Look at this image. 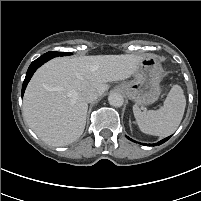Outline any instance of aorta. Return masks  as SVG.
<instances>
[{
    "mask_svg": "<svg viewBox=\"0 0 201 201\" xmlns=\"http://www.w3.org/2000/svg\"><path fill=\"white\" fill-rule=\"evenodd\" d=\"M109 104L113 107H121L124 103V98L117 92H112L108 96Z\"/></svg>",
    "mask_w": 201,
    "mask_h": 201,
    "instance_id": "762f6f07",
    "label": "aorta"
}]
</instances>
